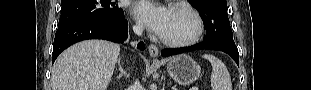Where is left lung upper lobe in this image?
Masks as SVG:
<instances>
[{"mask_svg":"<svg viewBox=\"0 0 311 90\" xmlns=\"http://www.w3.org/2000/svg\"><path fill=\"white\" fill-rule=\"evenodd\" d=\"M190 3L205 23V40L234 42L226 10V0H191Z\"/></svg>","mask_w":311,"mask_h":90,"instance_id":"left-lung-upper-lobe-1","label":"left lung upper lobe"}]
</instances>
